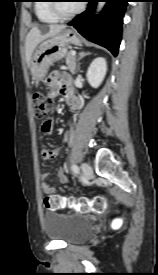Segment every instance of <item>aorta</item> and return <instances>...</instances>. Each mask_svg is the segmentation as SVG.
<instances>
[{"label":"aorta","mask_w":158,"mask_h":275,"mask_svg":"<svg viewBox=\"0 0 158 275\" xmlns=\"http://www.w3.org/2000/svg\"><path fill=\"white\" fill-rule=\"evenodd\" d=\"M105 3L103 2H99L98 5H97V13L100 12L102 10V8L104 7Z\"/></svg>","instance_id":"1"}]
</instances>
